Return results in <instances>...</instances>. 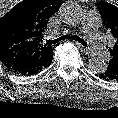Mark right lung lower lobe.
<instances>
[{
  "instance_id": "right-lung-lower-lobe-1",
  "label": "right lung lower lobe",
  "mask_w": 118,
  "mask_h": 118,
  "mask_svg": "<svg viewBox=\"0 0 118 118\" xmlns=\"http://www.w3.org/2000/svg\"><path fill=\"white\" fill-rule=\"evenodd\" d=\"M8 69L15 72V73H17V74L26 75V76L37 74V73L40 72V70H38V69H20V68H17V67L8 68Z\"/></svg>"
}]
</instances>
